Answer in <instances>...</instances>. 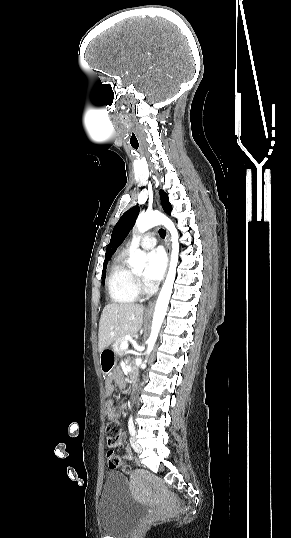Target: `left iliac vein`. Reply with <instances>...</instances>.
I'll use <instances>...</instances> for the list:
<instances>
[{"label": "left iliac vein", "mask_w": 291, "mask_h": 538, "mask_svg": "<svg viewBox=\"0 0 291 538\" xmlns=\"http://www.w3.org/2000/svg\"><path fill=\"white\" fill-rule=\"evenodd\" d=\"M130 443H131V446L133 448V450L137 453H140L142 448L140 446V444L136 441V439L134 437L131 438L130 440Z\"/></svg>", "instance_id": "1"}]
</instances>
